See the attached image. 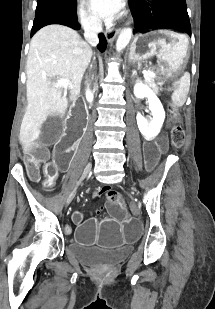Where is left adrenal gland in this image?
<instances>
[{"mask_svg":"<svg viewBox=\"0 0 215 309\" xmlns=\"http://www.w3.org/2000/svg\"><path fill=\"white\" fill-rule=\"evenodd\" d=\"M137 74V70H132V76H135Z\"/></svg>","mask_w":215,"mask_h":309,"instance_id":"obj_1","label":"left adrenal gland"}]
</instances>
